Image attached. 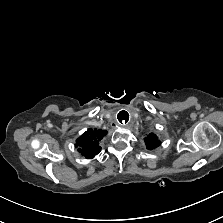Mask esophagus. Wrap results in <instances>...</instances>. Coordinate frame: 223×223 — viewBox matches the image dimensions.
<instances>
[{
    "instance_id": "34e87169",
    "label": "esophagus",
    "mask_w": 223,
    "mask_h": 223,
    "mask_svg": "<svg viewBox=\"0 0 223 223\" xmlns=\"http://www.w3.org/2000/svg\"><path fill=\"white\" fill-rule=\"evenodd\" d=\"M116 119L120 125L127 126L131 123L132 116L129 112L122 110V111L118 112Z\"/></svg>"
}]
</instances>
